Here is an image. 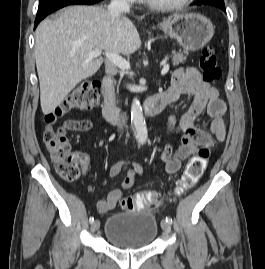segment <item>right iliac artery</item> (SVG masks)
<instances>
[{"label": "right iliac artery", "mask_w": 265, "mask_h": 269, "mask_svg": "<svg viewBox=\"0 0 265 269\" xmlns=\"http://www.w3.org/2000/svg\"><path fill=\"white\" fill-rule=\"evenodd\" d=\"M93 221H94V217H90V218H89V222L92 224Z\"/></svg>", "instance_id": "obj_1"}]
</instances>
